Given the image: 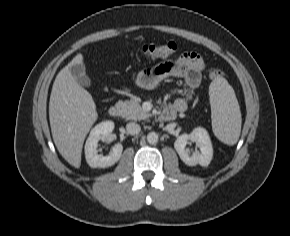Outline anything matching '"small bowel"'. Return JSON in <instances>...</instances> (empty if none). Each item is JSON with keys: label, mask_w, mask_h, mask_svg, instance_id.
Listing matches in <instances>:
<instances>
[{"label": "small bowel", "mask_w": 290, "mask_h": 236, "mask_svg": "<svg viewBox=\"0 0 290 236\" xmlns=\"http://www.w3.org/2000/svg\"><path fill=\"white\" fill-rule=\"evenodd\" d=\"M204 68V61L198 53L185 52L173 61L163 62L151 69L140 71L135 77V84L140 88L153 89L166 79H183L188 90L168 108L184 111L201 83Z\"/></svg>", "instance_id": "1"}]
</instances>
